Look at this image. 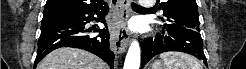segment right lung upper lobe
Segmentation results:
<instances>
[{"instance_id": "right-lung-upper-lobe-1", "label": "right lung upper lobe", "mask_w": 246, "mask_h": 69, "mask_svg": "<svg viewBox=\"0 0 246 69\" xmlns=\"http://www.w3.org/2000/svg\"><path fill=\"white\" fill-rule=\"evenodd\" d=\"M107 6L103 0H47L44 13L56 10H86Z\"/></svg>"}]
</instances>
